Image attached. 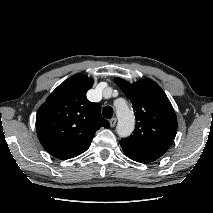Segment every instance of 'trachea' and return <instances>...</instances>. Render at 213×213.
<instances>
[{
  "label": "trachea",
  "instance_id": "3493384b",
  "mask_svg": "<svg viewBox=\"0 0 213 213\" xmlns=\"http://www.w3.org/2000/svg\"><path fill=\"white\" fill-rule=\"evenodd\" d=\"M102 114L106 119H111L113 116V109L111 106H105L102 110Z\"/></svg>",
  "mask_w": 213,
  "mask_h": 213
}]
</instances>
